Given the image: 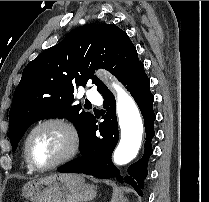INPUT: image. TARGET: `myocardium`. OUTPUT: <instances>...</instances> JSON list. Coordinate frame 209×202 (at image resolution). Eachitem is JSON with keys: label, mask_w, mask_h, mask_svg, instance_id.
<instances>
[{"label": "myocardium", "mask_w": 209, "mask_h": 202, "mask_svg": "<svg viewBox=\"0 0 209 202\" xmlns=\"http://www.w3.org/2000/svg\"><path fill=\"white\" fill-rule=\"evenodd\" d=\"M45 126L58 127L64 134L66 147L52 163L45 166H38L31 158L29 142L35 132ZM81 138L76 127L65 118L52 116L41 119L35 123L27 132L23 141V153L28 166L36 172H45L59 167L60 165L72 160L80 151Z\"/></svg>", "instance_id": "myocardium-1"}]
</instances>
